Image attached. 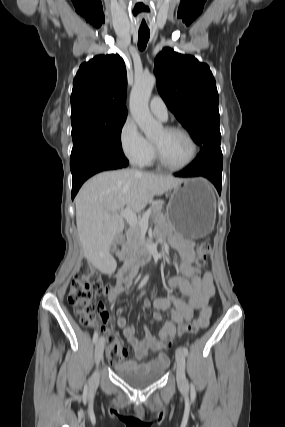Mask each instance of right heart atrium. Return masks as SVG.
<instances>
[{
    "mask_svg": "<svg viewBox=\"0 0 285 427\" xmlns=\"http://www.w3.org/2000/svg\"><path fill=\"white\" fill-rule=\"evenodd\" d=\"M119 144L123 155L133 165H143L153 152L152 143L142 134L137 123L130 117L120 128Z\"/></svg>",
    "mask_w": 285,
    "mask_h": 427,
    "instance_id": "obj_1",
    "label": "right heart atrium"
}]
</instances>
